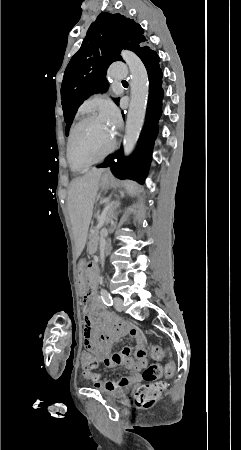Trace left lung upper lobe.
Segmentation results:
<instances>
[{"label": "left lung upper lobe", "mask_w": 241, "mask_h": 450, "mask_svg": "<svg viewBox=\"0 0 241 450\" xmlns=\"http://www.w3.org/2000/svg\"><path fill=\"white\" fill-rule=\"evenodd\" d=\"M143 28L120 14L101 13L91 24L78 52L71 58L61 86L66 135L78 107L95 92L108 88L105 77L110 64L122 61V49L139 57L150 49ZM116 104L119 98L115 99Z\"/></svg>", "instance_id": "1"}]
</instances>
